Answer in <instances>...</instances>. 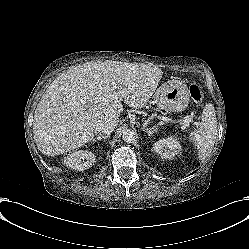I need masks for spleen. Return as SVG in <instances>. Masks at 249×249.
Segmentation results:
<instances>
[{
    "label": "spleen",
    "instance_id": "obj_1",
    "mask_svg": "<svg viewBox=\"0 0 249 249\" xmlns=\"http://www.w3.org/2000/svg\"><path fill=\"white\" fill-rule=\"evenodd\" d=\"M210 108L209 105L206 106L203 125L191 137V140L197 145L199 153L203 158L207 156L214 145V135L212 133L216 128V123L210 112Z\"/></svg>",
    "mask_w": 249,
    "mask_h": 249
}]
</instances>
